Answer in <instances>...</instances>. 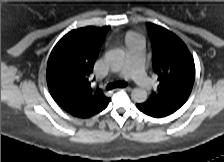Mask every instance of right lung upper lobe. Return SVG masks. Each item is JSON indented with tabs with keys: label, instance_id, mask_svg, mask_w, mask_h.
<instances>
[{
	"label": "right lung upper lobe",
	"instance_id": "right-lung-upper-lobe-1",
	"mask_svg": "<svg viewBox=\"0 0 224 162\" xmlns=\"http://www.w3.org/2000/svg\"><path fill=\"white\" fill-rule=\"evenodd\" d=\"M109 27L70 31L53 48L47 64V85L56 103L69 114L89 118L104 110L110 98L90 86L89 75Z\"/></svg>",
	"mask_w": 224,
	"mask_h": 162
}]
</instances>
